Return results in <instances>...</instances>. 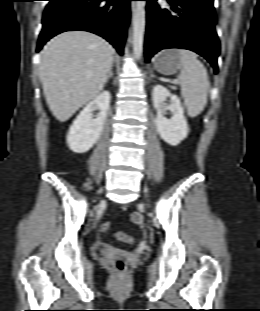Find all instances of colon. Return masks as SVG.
Wrapping results in <instances>:
<instances>
[{
	"mask_svg": "<svg viewBox=\"0 0 260 311\" xmlns=\"http://www.w3.org/2000/svg\"><path fill=\"white\" fill-rule=\"evenodd\" d=\"M111 227V224L109 222H104L101 226V230L103 232H107ZM116 238L121 241V242H125V243H132L133 239L132 237H130L129 235L123 233V232H119L116 235ZM114 267L118 272H123L125 269V262L122 259H117L114 263Z\"/></svg>",
	"mask_w": 260,
	"mask_h": 311,
	"instance_id": "colon-1",
	"label": "colon"
}]
</instances>
